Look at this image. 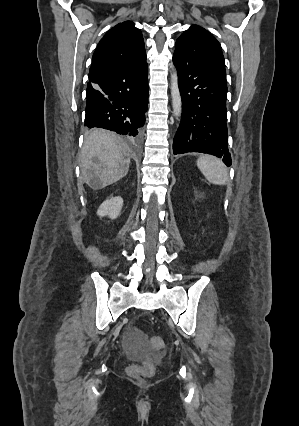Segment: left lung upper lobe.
Returning a JSON list of instances; mask_svg holds the SVG:
<instances>
[{
	"label": "left lung upper lobe",
	"instance_id": "5c2ea615",
	"mask_svg": "<svg viewBox=\"0 0 299 426\" xmlns=\"http://www.w3.org/2000/svg\"><path fill=\"white\" fill-rule=\"evenodd\" d=\"M175 49L190 60L206 66L227 84L224 57L216 38L204 28L192 25L176 41Z\"/></svg>",
	"mask_w": 299,
	"mask_h": 426
}]
</instances>
